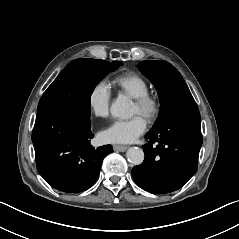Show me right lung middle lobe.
<instances>
[{
	"label": "right lung middle lobe",
	"instance_id": "dd1d6c3e",
	"mask_svg": "<svg viewBox=\"0 0 239 239\" xmlns=\"http://www.w3.org/2000/svg\"><path fill=\"white\" fill-rule=\"evenodd\" d=\"M121 65L123 63L120 61L90 58L72 61L44 92L37 111L52 105L73 103L90 112V98L95 86Z\"/></svg>",
	"mask_w": 239,
	"mask_h": 239
}]
</instances>
